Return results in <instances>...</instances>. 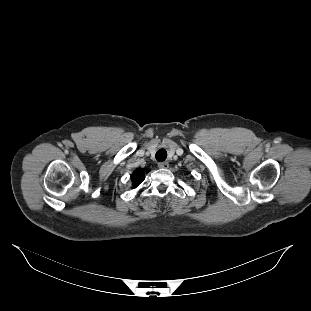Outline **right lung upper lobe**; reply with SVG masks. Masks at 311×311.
<instances>
[{
    "instance_id": "right-lung-upper-lobe-1",
    "label": "right lung upper lobe",
    "mask_w": 311,
    "mask_h": 311,
    "mask_svg": "<svg viewBox=\"0 0 311 311\" xmlns=\"http://www.w3.org/2000/svg\"><path fill=\"white\" fill-rule=\"evenodd\" d=\"M148 171H149L148 169H137L136 171L133 172L131 178L134 188H136L140 184V182L144 180L145 173H147Z\"/></svg>"
}]
</instances>
